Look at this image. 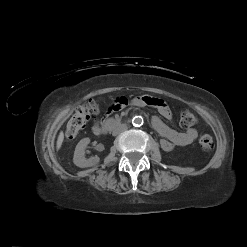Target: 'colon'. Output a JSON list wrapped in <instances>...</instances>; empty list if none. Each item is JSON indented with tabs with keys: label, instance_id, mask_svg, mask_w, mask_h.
Returning a JSON list of instances; mask_svg holds the SVG:
<instances>
[{
	"label": "colon",
	"instance_id": "5ec220e1",
	"mask_svg": "<svg viewBox=\"0 0 247 247\" xmlns=\"http://www.w3.org/2000/svg\"><path fill=\"white\" fill-rule=\"evenodd\" d=\"M99 104L95 101H89L79 106L67 123L65 136L69 141L74 140L85 128L87 122L99 113ZM198 122L197 116L189 109H183L180 113V123L183 127L190 128ZM200 148L209 151L213 147V137L210 134L203 133L198 139Z\"/></svg>",
	"mask_w": 247,
	"mask_h": 247
}]
</instances>
